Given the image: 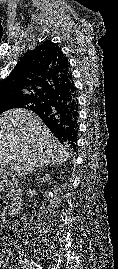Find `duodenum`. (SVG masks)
Wrapping results in <instances>:
<instances>
[{
  "instance_id": "410a0bca",
  "label": "duodenum",
  "mask_w": 118,
  "mask_h": 269,
  "mask_svg": "<svg viewBox=\"0 0 118 269\" xmlns=\"http://www.w3.org/2000/svg\"><path fill=\"white\" fill-rule=\"evenodd\" d=\"M0 183H2V179H1V177H0ZM1 213H2V212H1ZM1 213H0V214H1Z\"/></svg>"
}]
</instances>
